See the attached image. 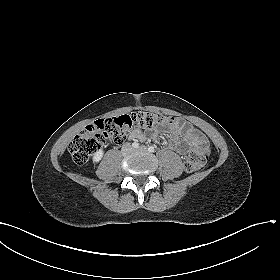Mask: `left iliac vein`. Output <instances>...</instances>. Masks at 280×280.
<instances>
[{
	"label": "left iliac vein",
	"instance_id": "obj_1",
	"mask_svg": "<svg viewBox=\"0 0 280 280\" xmlns=\"http://www.w3.org/2000/svg\"><path fill=\"white\" fill-rule=\"evenodd\" d=\"M134 151H138V152H146L147 148L145 146H141L139 149L134 150Z\"/></svg>",
	"mask_w": 280,
	"mask_h": 280
}]
</instances>
